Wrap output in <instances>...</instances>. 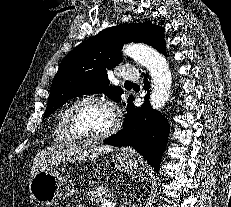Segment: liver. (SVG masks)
Returning <instances> with one entry per match:
<instances>
[{
	"label": "liver",
	"mask_w": 231,
	"mask_h": 207,
	"mask_svg": "<svg viewBox=\"0 0 231 207\" xmlns=\"http://www.w3.org/2000/svg\"><path fill=\"white\" fill-rule=\"evenodd\" d=\"M112 146L98 144H70L66 147H47L38 153L33 161L31 178L40 170L48 169L61 161H87L109 153Z\"/></svg>",
	"instance_id": "obj_1"
}]
</instances>
